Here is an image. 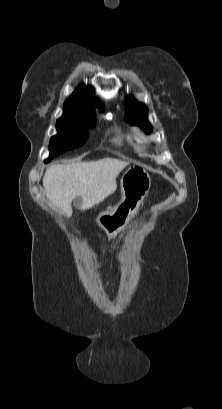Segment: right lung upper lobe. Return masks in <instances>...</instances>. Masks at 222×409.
Segmentation results:
<instances>
[{
    "label": "right lung upper lobe",
    "instance_id": "1",
    "mask_svg": "<svg viewBox=\"0 0 222 409\" xmlns=\"http://www.w3.org/2000/svg\"><path fill=\"white\" fill-rule=\"evenodd\" d=\"M92 95L93 90L90 86L80 85L65 102L63 113L73 111H94V106H98L102 111L104 106L96 99H91Z\"/></svg>",
    "mask_w": 222,
    "mask_h": 409
}]
</instances>
